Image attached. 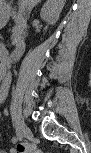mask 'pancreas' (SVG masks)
I'll return each mask as SVG.
<instances>
[{
	"instance_id": "1",
	"label": "pancreas",
	"mask_w": 91,
	"mask_h": 153,
	"mask_svg": "<svg viewBox=\"0 0 91 153\" xmlns=\"http://www.w3.org/2000/svg\"><path fill=\"white\" fill-rule=\"evenodd\" d=\"M24 23L21 22L19 19H16V26L12 29V44H16L19 38L20 33L24 29Z\"/></svg>"
}]
</instances>
